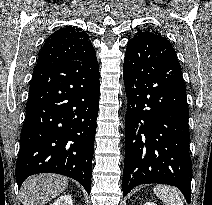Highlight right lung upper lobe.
<instances>
[{
	"instance_id": "1",
	"label": "right lung upper lobe",
	"mask_w": 212,
	"mask_h": 205,
	"mask_svg": "<svg viewBox=\"0 0 212 205\" xmlns=\"http://www.w3.org/2000/svg\"><path fill=\"white\" fill-rule=\"evenodd\" d=\"M67 60H96L89 36L81 28L66 26L51 34L39 52L36 67Z\"/></svg>"
}]
</instances>
